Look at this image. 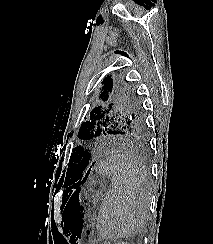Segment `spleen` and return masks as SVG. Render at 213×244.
Instances as JSON below:
<instances>
[{
    "instance_id": "spleen-1",
    "label": "spleen",
    "mask_w": 213,
    "mask_h": 244,
    "mask_svg": "<svg viewBox=\"0 0 213 244\" xmlns=\"http://www.w3.org/2000/svg\"><path fill=\"white\" fill-rule=\"evenodd\" d=\"M111 187L101 202L98 234L107 239L132 238L144 226L148 212L150 179L146 169L133 158L115 155L103 165Z\"/></svg>"
}]
</instances>
